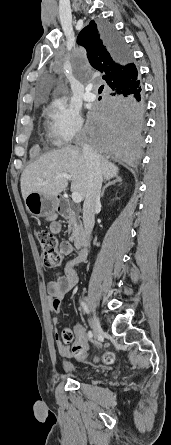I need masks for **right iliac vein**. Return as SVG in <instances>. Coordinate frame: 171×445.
Segmentation results:
<instances>
[{"instance_id": "63e3f726", "label": "right iliac vein", "mask_w": 171, "mask_h": 445, "mask_svg": "<svg viewBox=\"0 0 171 445\" xmlns=\"http://www.w3.org/2000/svg\"><path fill=\"white\" fill-rule=\"evenodd\" d=\"M92 328L95 338H98L99 335L103 332L100 321L96 315L93 316Z\"/></svg>"}]
</instances>
